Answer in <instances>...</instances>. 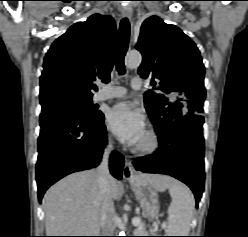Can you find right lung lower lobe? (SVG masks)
<instances>
[{
    "mask_svg": "<svg viewBox=\"0 0 248 237\" xmlns=\"http://www.w3.org/2000/svg\"><path fill=\"white\" fill-rule=\"evenodd\" d=\"M36 180L39 202L45 191L64 176L96 167L107 144L104 115L84 117L70 112L40 114ZM124 158L117 151L110 156L111 174L120 180Z\"/></svg>",
    "mask_w": 248,
    "mask_h": 237,
    "instance_id": "1",
    "label": "right lung lower lobe"
}]
</instances>
